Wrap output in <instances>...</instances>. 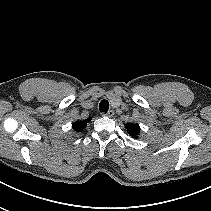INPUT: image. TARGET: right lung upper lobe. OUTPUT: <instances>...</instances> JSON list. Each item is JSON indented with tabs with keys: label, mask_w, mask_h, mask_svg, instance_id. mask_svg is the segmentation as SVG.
Returning a JSON list of instances; mask_svg holds the SVG:
<instances>
[{
	"label": "right lung upper lobe",
	"mask_w": 211,
	"mask_h": 211,
	"mask_svg": "<svg viewBox=\"0 0 211 211\" xmlns=\"http://www.w3.org/2000/svg\"><path fill=\"white\" fill-rule=\"evenodd\" d=\"M89 121H90V118L89 119H86V120H83V121H79V122L73 123V129H74V131H76V132L82 131L86 127V125H87V123Z\"/></svg>",
	"instance_id": "right-lung-upper-lobe-1"
}]
</instances>
